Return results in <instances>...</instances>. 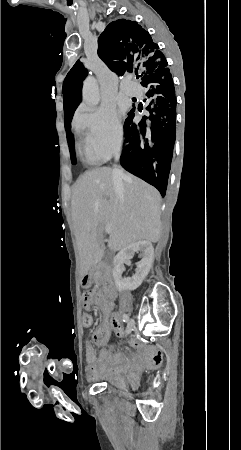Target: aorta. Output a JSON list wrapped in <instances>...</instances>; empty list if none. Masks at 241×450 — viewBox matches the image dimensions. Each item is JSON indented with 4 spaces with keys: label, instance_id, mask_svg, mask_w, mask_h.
<instances>
[{
    "label": "aorta",
    "instance_id": "1",
    "mask_svg": "<svg viewBox=\"0 0 241 450\" xmlns=\"http://www.w3.org/2000/svg\"><path fill=\"white\" fill-rule=\"evenodd\" d=\"M83 101L90 106H96L100 101L98 84L93 77H88L84 81Z\"/></svg>",
    "mask_w": 241,
    "mask_h": 450
}]
</instances>
